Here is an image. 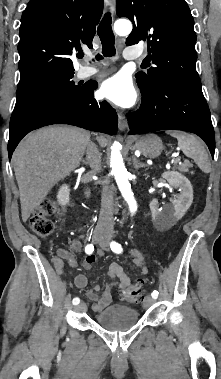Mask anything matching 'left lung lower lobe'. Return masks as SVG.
Here are the masks:
<instances>
[{
    "instance_id": "0a47b994",
    "label": "left lung lower lobe",
    "mask_w": 221,
    "mask_h": 379,
    "mask_svg": "<svg viewBox=\"0 0 221 379\" xmlns=\"http://www.w3.org/2000/svg\"><path fill=\"white\" fill-rule=\"evenodd\" d=\"M140 90L142 104L138 111L129 114V134L158 130L192 132L206 142L214 156V129L201 87L155 79L148 88Z\"/></svg>"
}]
</instances>
